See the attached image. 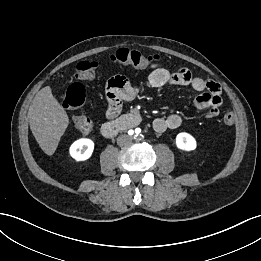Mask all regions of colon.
<instances>
[{"label": "colon", "mask_w": 261, "mask_h": 261, "mask_svg": "<svg viewBox=\"0 0 261 261\" xmlns=\"http://www.w3.org/2000/svg\"><path fill=\"white\" fill-rule=\"evenodd\" d=\"M160 59L158 55H145L141 52L119 49L111 55V60L117 64L127 65L137 68H145ZM98 63L96 61H81L76 65L75 77L78 80H90L94 77ZM86 98L84 86L80 82H75L67 89L64 104L72 110H81ZM76 128L83 134H87L92 129V121L82 112L74 116ZM223 123L231 126L234 123V115L231 111L223 114Z\"/></svg>", "instance_id": "obj_1"}]
</instances>
